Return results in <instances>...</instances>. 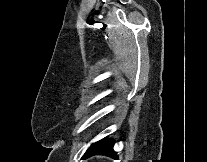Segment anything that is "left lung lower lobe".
I'll return each mask as SVG.
<instances>
[{
	"label": "left lung lower lobe",
	"instance_id": "left-lung-lower-lobe-1",
	"mask_svg": "<svg viewBox=\"0 0 207 162\" xmlns=\"http://www.w3.org/2000/svg\"><path fill=\"white\" fill-rule=\"evenodd\" d=\"M114 141L111 139H102L97 143L92 144L85 152L83 159L93 155H108L111 157L116 156V152L113 150Z\"/></svg>",
	"mask_w": 207,
	"mask_h": 162
}]
</instances>
